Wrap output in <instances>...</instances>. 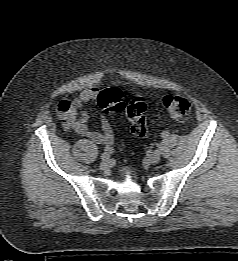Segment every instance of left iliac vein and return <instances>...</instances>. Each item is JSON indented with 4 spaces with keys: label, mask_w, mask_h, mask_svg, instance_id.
<instances>
[{
    "label": "left iliac vein",
    "mask_w": 238,
    "mask_h": 261,
    "mask_svg": "<svg viewBox=\"0 0 238 261\" xmlns=\"http://www.w3.org/2000/svg\"><path fill=\"white\" fill-rule=\"evenodd\" d=\"M161 158V152L159 150H155L148 154L147 156V162L149 164H157L160 161Z\"/></svg>",
    "instance_id": "1"
}]
</instances>
